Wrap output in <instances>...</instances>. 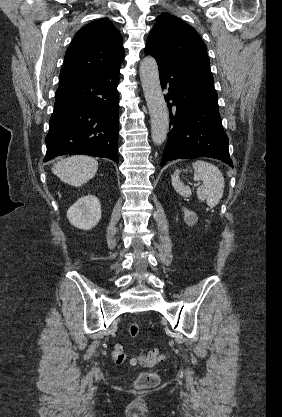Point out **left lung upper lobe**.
I'll return each mask as SVG.
<instances>
[{"label": "left lung upper lobe", "mask_w": 282, "mask_h": 417, "mask_svg": "<svg viewBox=\"0 0 282 417\" xmlns=\"http://www.w3.org/2000/svg\"><path fill=\"white\" fill-rule=\"evenodd\" d=\"M148 36L145 49L169 63L210 65L207 47L196 30L178 17L162 13Z\"/></svg>", "instance_id": "left-lung-upper-lobe-1"}]
</instances>
